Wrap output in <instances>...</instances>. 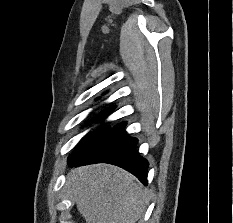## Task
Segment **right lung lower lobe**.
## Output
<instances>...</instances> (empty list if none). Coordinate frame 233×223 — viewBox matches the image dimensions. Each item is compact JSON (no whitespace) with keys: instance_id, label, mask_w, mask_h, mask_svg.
Instances as JSON below:
<instances>
[{"instance_id":"obj_1","label":"right lung lower lobe","mask_w":233,"mask_h":223,"mask_svg":"<svg viewBox=\"0 0 233 223\" xmlns=\"http://www.w3.org/2000/svg\"><path fill=\"white\" fill-rule=\"evenodd\" d=\"M126 122L110 129L97 143L81 156H69L71 166L110 163L126 169L146 185L148 162L135 151L137 139L124 133Z\"/></svg>"}]
</instances>
